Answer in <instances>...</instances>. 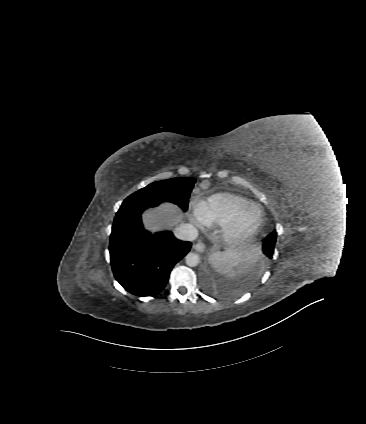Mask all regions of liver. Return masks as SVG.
Masks as SVG:
<instances>
[{"mask_svg": "<svg viewBox=\"0 0 366 424\" xmlns=\"http://www.w3.org/2000/svg\"><path fill=\"white\" fill-rule=\"evenodd\" d=\"M142 219L146 228L153 233L165 227L176 229L182 225L184 215L176 205L164 203L156 209V212H146Z\"/></svg>", "mask_w": 366, "mask_h": 424, "instance_id": "obj_1", "label": "liver"}]
</instances>
